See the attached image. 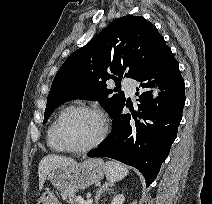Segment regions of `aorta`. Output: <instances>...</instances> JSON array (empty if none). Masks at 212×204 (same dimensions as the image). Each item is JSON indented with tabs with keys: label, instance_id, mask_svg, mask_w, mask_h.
<instances>
[{
	"label": "aorta",
	"instance_id": "762f6f07",
	"mask_svg": "<svg viewBox=\"0 0 212 204\" xmlns=\"http://www.w3.org/2000/svg\"><path fill=\"white\" fill-rule=\"evenodd\" d=\"M158 93H159V89L158 88H155L154 91H153V97H157L158 96Z\"/></svg>",
	"mask_w": 212,
	"mask_h": 204
}]
</instances>
